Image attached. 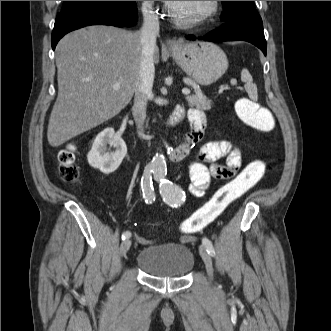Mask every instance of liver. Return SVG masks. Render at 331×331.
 <instances>
[{"instance_id":"liver-1","label":"liver","mask_w":331,"mask_h":331,"mask_svg":"<svg viewBox=\"0 0 331 331\" xmlns=\"http://www.w3.org/2000/svg\"><path fill=\"white\" fill-rule=\"evenodd\" d=\"M139 32L89 26L64 36L56 47L58 96L47 139L58 147L116 116L131 101L140 79ZM153 60L159 62L155 46ZM120 84L115 90L113 85Z\"/></svg>"}]
</instances>
